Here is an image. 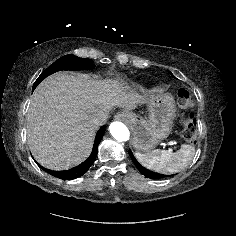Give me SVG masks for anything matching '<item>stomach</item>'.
Masks as SVG:
<instances>
[{
  "mask_svg": "<svg viewBox=\"0 0 236 236\" xmlns=\"http://www.w3.org/2000/svg\"><path fill=\"white\" fill-rule=\"evenodd\" d=\"M143 103L148 106L146 118L126 111L125 116L132 130V145L138 151L149 152L172 131L176 107L173 97L159 90L144 95Z\"/></svg>",
  "mask_w": 236,
  "mask_h": 236,
  "instance_id": "0dacf381",
  "label": "stomach"
}]
</instances>
